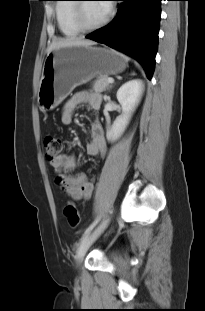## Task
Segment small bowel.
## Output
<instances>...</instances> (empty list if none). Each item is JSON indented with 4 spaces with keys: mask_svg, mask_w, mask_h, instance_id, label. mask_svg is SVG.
Returning a JSON list of instances; mask_svg holds the SVG:
<instances>
[{
    "mask_svg": "<svg viewBox=\"0 0 205 311\" xmlns=\"http://www.w3.org/2000/svg\"><path fill=\"white\" fill-rule=\"evenodd\" d=\"M89 105L93 110L101 106V96L95 92H76L63 106L60 120L62 124L69 125L74 121L77 108L81 105ZM90 139L86 145L87 154L90 156H102L106 154V145L103 129L99 121L94 120L89 126ZM56 172V183L65 193L75 200L88 199L93 191V181L85 173L71 174L76 166V158L72 154H59L50 162Z\"/></svg>",
    "mask_w": 205,
    "mask_h": 311,
    "instance_id": "small-bowel-1",
    "label": "small bowel"
}]
</instances>
